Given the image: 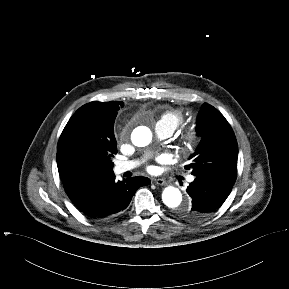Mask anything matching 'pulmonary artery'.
I'll list each match as a JSON object with an SVG mask.
<instances>
[{"instance_id": "pulmonary-artery-1", "label": "pulmonary artery", "mask_w": 289, "mask_h": 289, "mask_svg": "<svg viewBox=\"0 0 289 289\" xmlns=\"http://www.w3.org/2000/svg\"><path fill=\"white\" fill-rule=\"evenodd\" d=\"M155 133L156 135L163 139L172 135L173 131L161 122H157L155 125ZM138 165L137 161H119L116 163L114 167V172L116 174H122L124 172L130 171L134 169ZM194 180V176L190 175L188 177V181L192 182Z\"/></svg>"}]
</instances>
